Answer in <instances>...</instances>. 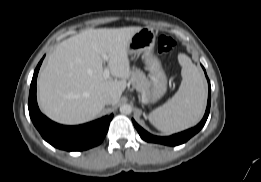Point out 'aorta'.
<instances>
[{"mask_svg":"<svg viewBox=\"0 0 261 182\" xmlns=\"http://www.w3.org/2000/svg\"><path fill=\"white\" fill-rule=\"evenodd\" d=\"M120 112L125 115H129L132 112V107L129 104L120 106Z\"/></svg>","mask_w":261,"mask_h":182,"instance_id":"1","label":"aorta"}]
</instances>
